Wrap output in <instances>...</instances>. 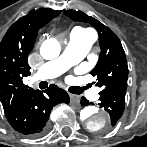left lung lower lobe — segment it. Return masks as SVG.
<instances>
[{
  "label": "left lung lower lobe",
  "instance_id": "1",
  "mask_svg": "<svg viewBox=\"0 0 147 147\" xmlns=\"http://www.w3.org/2000/svg\"><path fill=\"white\" fill-rule=\"evenodd\" d=\"M126 90L113 89L100 95V106L103 107L110 115L109 126H115L121 118L125 108ZM89 102L82 97L81 105H88ZM92 104V103H91Z\"/></svg>",
  "mask_w": 147,
  "mask_h": 147
}]
</instances>
